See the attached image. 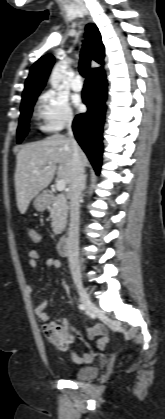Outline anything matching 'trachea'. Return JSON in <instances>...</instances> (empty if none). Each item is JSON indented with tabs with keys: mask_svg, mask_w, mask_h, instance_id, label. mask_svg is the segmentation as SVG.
Segmentation results:
<instances>
[{
	"mask_svg": "<svg viewBox=\"0 0 165 419\" xmlns=\"http://www.w3.org/2000/svg\"><path fill=\"white\" fill-rule=\"evenodd\" d=\"M90 62H91V58H90L88 49L84 45L80 54V62H79V72L83 77H85L88 74V71L90 69Z\"/></svg>",
	"mask_w": 165,
	"mask_h": 419,
	"instance_id": "trachea-1",
	"label": "trachea"
}]
</instances>
